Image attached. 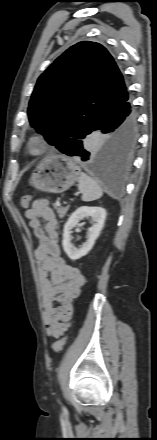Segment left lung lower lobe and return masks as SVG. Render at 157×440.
<instances>
[{
	"label": "left lung lower lobe",
	"instance_id": "obj_1",
	"mask_svg": "<svg viewBox=\"0 0 157 440\" xmlns=\"http://www.w3.org/2000/svg\"><path fill=\"white\" fill-rule=\"evenodd\" d=\"M137 130V114L128 94L122 102L107 110L95 124L93 131L105 135L98 151L91 152L86 141L81 140L64 154L76 156L90 171L119 180L130 168Z\"/></svg>",
	"mask_w": 157,
	"mask_h": 440
}]
</instances>
